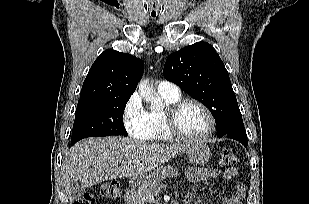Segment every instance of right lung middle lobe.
I'll return each mask as SVG.
<instances>
[{
    "label": "right lung middle lobe",
    "instance_id": "obj_1",
    "mask_svg": "<svg viewBox=\"0 0 309 204\" xmlns=\"http://www.w3.org/2000/svg\"><path fill=\"white\" fill-rule=\"evenodd\" d=\"M129 98L106 97L78 103L71 143L93 136H127L123 112Z\"/></svg>",
    "mask_w": 309,
    "mask_h": 204
}]
</instances>
